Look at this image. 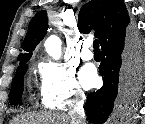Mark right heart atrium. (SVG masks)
I'll return each mask as SVG.
<instances>
[{
	"mask_svg": "<svg viewBox=\"0 0 145 124\" xmlns=\"http://www.w3.org/2000/svg\"><path fill=\"white\" fill-rule=\"evenodd\" d=\"M42 101L49 108L65 109L75 106L84 97L74 70L55 62L40 65Z\"/></svg>",
	"mask_w": 145,
	"mask_h": 124,
	"instance_id": "1",
	"label": "right heart atrium"
}]
</instances>
